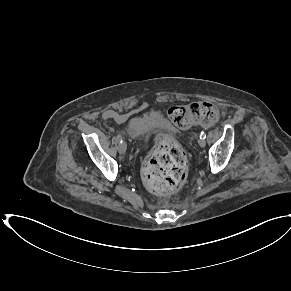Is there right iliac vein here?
Returning a JSON list of instances; mask_svg holds the SVG:
<instances>
[{"instance_id":"obj_1","label":"right iliac vein","mask_w":291,"mask_h":291,"mask_svg":"<svg viewBox=\"0 0 291 291\" xmlns=\"http://www.w3.org/2000/svg\"><path fill=\"white\" fill-rule=\"evenodd\" d=\"M126 150H127V144H126V142L125 141L120 142L119 145H118V151H119V153L120 154H125Z\"/></svg>"}]
</instances>
